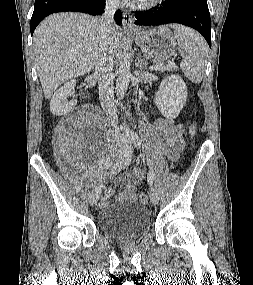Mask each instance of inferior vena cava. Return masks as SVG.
Instances as JSON below:
<instances>
[{"label": "inferior vena cava", "instance_id": "1", "mask_svg": "<svg viewBox=\"0 0 253 285\" xmlns=\"http://www.w3.org/2000/svg\"><path fill=\"white\" fill-rule=\"evenodd\" d=\"M119 7V0H106L105 12L98 19L99 49L96 56L95 72L98 75L99 99L103 110L114 120L113 65L115 47L111 38L113 15Z\"/></svg>", "mask_w": 253, "mask_h": 285}]
</instances>
